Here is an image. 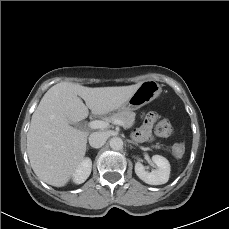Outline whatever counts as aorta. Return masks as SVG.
<instances>
[{
    "mask_svg": "<svg viewBox=\"0 0 229 229\" xmlns=\"http://www.w3.org/2000/svg\"><path fill=\"white\" fill-rule=\"evenodd\" d=\"M109 144L113 150H120L123 148V140L119 137L111 138Z\"/></svg>",
    "mask_w": 229,
    "mask_h": 229,
    "instance_id": "1",
    "label": "aorta"
}]
</instances>
